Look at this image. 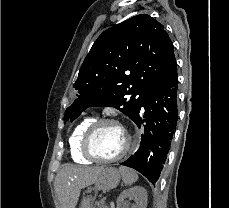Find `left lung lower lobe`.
I'll return each mask as SVG.
<instances>
[{
  "instance_id": "obj_1",
  "label": "left lung lower lobe",
  "mask_w": 229,
  "mask_h": 208,
  "mask_svg": "<svg viewBox=\"0 0 229 208\" xmlns=\"http://www.w3.org/2000/svg\"><path fill=\"white\" fill-rule=\"evenodd\" d=\"M177 94L176 73L169 82L147 93L141 109L132 119L139 128L145 123L144 133L138 150L121 165L139 171L153 184L159 179L176 129Z\"/></svg>"
}]
</instances>
